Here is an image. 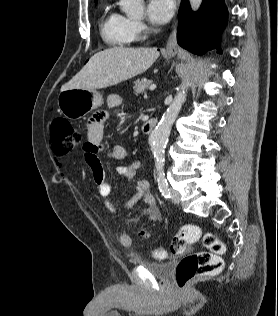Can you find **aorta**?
Returning <instances> with one entry per match:
<instances>
[{"instance_id": "obj_1", "label": "aorta", "mask_w": 278, "mask_h": 316, "mask_svg": "<svg viewBox=\"0 0 278 316\" xmlns=\"http://www.w3.org/2000/svg\"><path fill=\"white\" fill-rule=\"evenodd\" d=\"M189 2L191 9L197 11L202 0H189ZM120 8L128 17L140 18L143 15V0H120ZM188 86L189 81L184 80L174 97L173 102L167 108L160 122L150 134L149 144L154 156L156 169L159 171L164 167L165 148L169 140L172 125L185 101Z\"/></svg>"}]
</instances>
